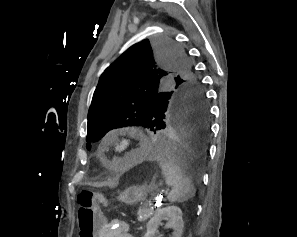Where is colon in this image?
Segmentation results:
<instances>
[{"label":"colon","instance_id":"obj_1","mask_svg":"<svg viewBox=\"0 0 297 237\" xmlns=\"http://www.w3.org/2000/svg\"><path fill=\"white\" fill-rule=\"evenodd\" d=\"M79 237H97L102 225L100 207L108 204L106 197L98 192L83 190L78 194Z\"/></svg>","mask_w":297,"mask_h":237}]
</instances>
